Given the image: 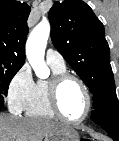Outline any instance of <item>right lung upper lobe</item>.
<instances>
[{
    "label": "right lung upper lobe",
    "instance_id": "obj_1",
    "mask_svg": "<svg viewBox=\"0 0 119 141\" xmlns=\"http://www.w3.org/2000/svg\"><path fill=\"white\" fill-rule=\"evenodd\" d=\"M30 10L26 3L0 1V69H20L23 66Z\"/></svg>",
    "mask_w": 119,
    "mask_h": 141
}]
</instances>
